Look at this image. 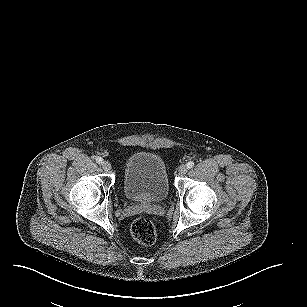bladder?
Listing matches in <instances>:
<instances>
[{
    "label": "bladder",
    "instance_id": "1",
    "mask_svg": "<svg viewBox=\"0 0 307 307\" xmlns=\"http://www.w3.org/2000/svg\"><path fill=\"white\" fill-rule=\"evenodd\" d=\"M125 196L135 202H162L169 194L168 172L156 154L139 152L126 162L122 176Z\"/></svg>",
    "mask_w": 307,
    "mask_h": 307
}]
</instances>
